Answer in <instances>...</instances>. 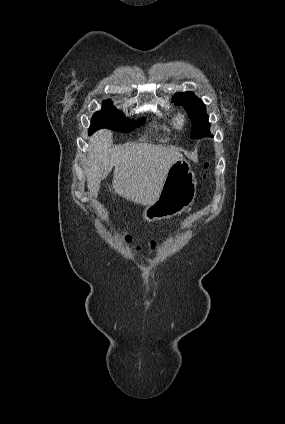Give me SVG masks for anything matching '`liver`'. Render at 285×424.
I'll list each match as a JSON object with an SVG mask.
<instances>
[{"instance_id": "1", "label": "liver", "mask_w": 285, "mask_h": 424, "mask_svg": "<svg viewBox=\"0 0 285 424\" xmlns=\"http://www.w3.org/2000/svg\"><path fill=\"white\" fill-rule=\"evenodd\" d=\"M181 156L174 146L133 142L113 146L112 132L100 130L89 139L84 168L88 190L97 197L101 181L114 167V192L134 203L149 205L158 198L169 168Z\"/></svg>"}]
</instances>
